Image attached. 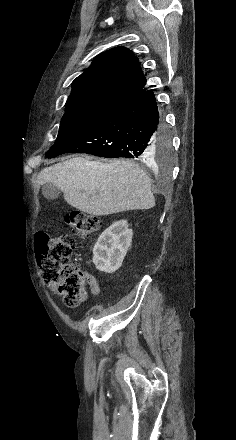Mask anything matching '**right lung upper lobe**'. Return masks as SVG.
<instances>
[{
  "instance_id": "right-lung-upper-lobe-1",
  "label": "right lung upper lobe",
  "mask_w": 236,
  "mask_h": 440,
  "mask_svg": "<svg viewBox=\"0 0 236 440\" xmlns=\"http://www.w3.org/2000/svg\"><path fill=\"white\" fill-rule=\"evenodd\" d=\"M147 89L138 58L125 47H115L99 54L73 81L66 103L91 102L117 107Z\"/></svg>"
}]
</instances>
